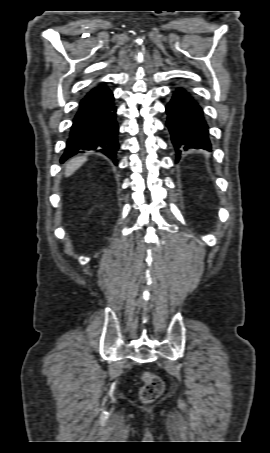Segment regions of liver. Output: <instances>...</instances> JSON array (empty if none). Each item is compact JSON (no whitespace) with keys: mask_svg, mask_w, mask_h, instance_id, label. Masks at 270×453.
<instances>
[{"mask_svg":"<svg viewBox=\"0 0 270 453\" xmlns=\"http://www.w3.org/2000/svg\"><path fill=\"white\" fill-rule=\"evenodd\" d=\"M87 161L86 156H79L72 158L66 164L65 176H71L77 169H79Z\"/></svg>","mask_w":270,"mask_h":453,"instance_id":"liver-1","label":"liver"}]
</instances>
